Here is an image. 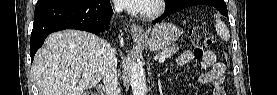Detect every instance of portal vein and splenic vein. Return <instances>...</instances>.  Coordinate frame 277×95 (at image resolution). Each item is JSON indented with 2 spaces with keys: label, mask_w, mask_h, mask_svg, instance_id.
<instances>
[{
  "label": "portal vein and splenic vein",
  "mask_w": 277,
  "mask_h": 95,
  "mask_svg": "<svg viewBox=\"0 0 277 95\" xmlns=\"http://www.w3.org/2000/svg\"><path fill=\"white\" fill-rule=\"evenodd\" d=\"M165 58H166L165 56H160L158 60H159V62H161V63H162V62H164V61H165Z\"/></svg>",
  "instance_id": "portal-vein-and-splenic-vein-1"
}]
</instances>
